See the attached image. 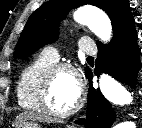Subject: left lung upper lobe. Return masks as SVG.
<instances>
[{"label": "left lung upper lobe", "mask_w": 142, "mask_h": 128, "mask_svg": "<svg viewBox=\"0 0 142 128\" xmlns=\"http://www.w3.org/2000/svg\"><path fill=\"white\" fill-rule=\"evenodd\" d=\"M90 4L104 10L112 21L113 37L134 22L128 0H50L29 17L14 57L25 59L58 38L59 22L75 7ZM102 43L97 41V45ZM89 70L86 67L85 72Z\"/></svg>", "instance_id": "1"}]
</instances>
